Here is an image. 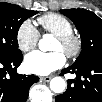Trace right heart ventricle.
Wrapping results in <instances>:
<instances>
[{"mask_svg": "<svg viewBox=\"0 0 102 102\" xmlns=\"http://www.w3.org/2000/svg\"><path fill=\"white\" fill-rule=\"evenodd\" d=\"M38 23L44 32L52 34L55 37L74 31L72 22L57 13H49L40 16L38 18Z\"/></svg>", "mask_w": 102, "mask_h": 102, "instance_id": "1", "label": "right heart ventricle"}]
</instances>
